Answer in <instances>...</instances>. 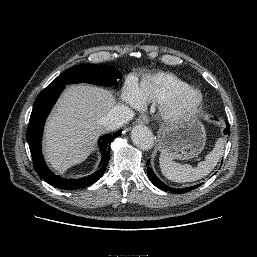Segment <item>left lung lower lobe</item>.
<instances>
[{"label":"left lung lower lobe","mask_w":257,"mask_h":257,"mask_svg":"<svg viewBox=\"0 0 257 257\" xmlns=\"http://www.w3.org/2000/svg\"><path fill=\"white\" fill-rule=\"evenodd\" d=\"M224 133L225 134H229L230 133V129L229 128H226L224 130ZM150 165V162L149 160L147 161V166ZM147 174H148V177L149 179L151 180V182L158 188L160 189H163V190H166V191H171V192H174V193H185V192H189L197 187H199L201 184H198V185H194V186H191V187H187V188H182V189H174V188H170L169 186H167L166 184H164L162 181H160L157 176L154 174V172L152 171V169L150 167H148L147 169Z\"/></svg>","instance_id":"1"}]
</instances>
